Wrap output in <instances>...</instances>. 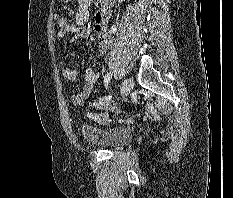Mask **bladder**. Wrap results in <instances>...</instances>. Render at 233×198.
<instances>
[{"mask_svg":"<svg viewBox=\"0 0 233 198\" xmlns=\"http://www.w3.org/2000/svg\"><path fill=\"white\" fill-rule=\"evenodd\" d=\"M83 130L91 143L111 150L126 145L132 138L131 131L125 127L99 129L85 126Z\"/></svg>","mask_w":233,"mask_h":198,"instance_id":"31cf9c89","label":"bladder"}]
</instances>
